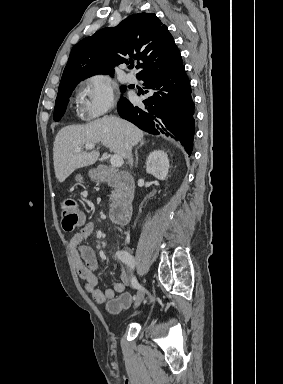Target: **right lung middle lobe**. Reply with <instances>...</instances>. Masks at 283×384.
Here are the masks:
<instances>
[{
    "mask_svg": "<svg viewBox=\"0 0 283 384\" xmlns=\"http://www.w3.org/2000/svg\"><path fill=\"white\" fill-rule=\"evenodd\" d=\"M78 83H67V84H62L59 86L58 89V95L56 98V104H55V109H54V120L59 121L61 117L63 116L66 106L68 104V99L76 87ZM121 91H125V86L121 87ZM124 98H121L122 100Z\"/></svg>",
    "mask_w": 283,
    "mask_h": 384,
    "instance_id": "obj_1",
    "label": "right lung middle lobe"
}]
</instances>
